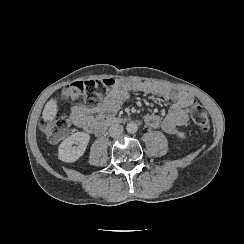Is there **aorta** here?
<instances>
[{
    "mask_svg": "<svg viewBox=\"0 0 244 244\" xmlns=\"http://www.w3.org/2000/svg\"><path fill=\"white\" fill-rule=\"evenodd\" d=\"M126 130H127V132L128 133H136L137 132V130H138V126H137V124L135 123V122H130V123H128L127 125H126Z\"/></svg>",
    "mask_w": 244,
    "mask_h": 244,
    "instance_id": "1",
    "label": "aorta"
}]
</instances>
